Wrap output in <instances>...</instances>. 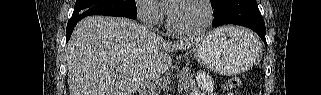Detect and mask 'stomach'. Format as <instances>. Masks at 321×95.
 Segmentation results:
<instances>
[{
	"label": "stomach",
	"mask_w": 321,
	"mask_h": 95,
	"mask_svg": "<svg viewBox=\"0 0 321 95\" xmlns=\"http://www.w3.org/2000/svg\"><path fill=\"white\" fill-rule=\"evenodd\" d=\"M261 50L256 36L238 27H223L199 41L193 51L204 67L221 74H237L257 60Z\"/></svg>",
	"instance_id": "stomach-1"
}]
</instances>
